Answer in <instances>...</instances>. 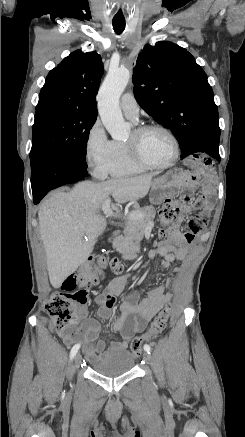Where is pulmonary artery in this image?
I'll list each match as a JSON object with an SVG mask.
<instances>
[{
  "label": "pulmonary artery",
  "instance_id": "e3ab8cb5",
  "mask_svg": "<svg viewBox=\"0 0 245 437\" xmlns=\"http://www.w3.org/2000/svg\"><path fill=\"white\" fill-rule=\"evenodd\" d=\"M120 107L127 118L137 121L139 106L131 93H125L121 97Z\"/></svg>",
  "mask_w": 245,
  "mask_h": 437
}]
</instances>
